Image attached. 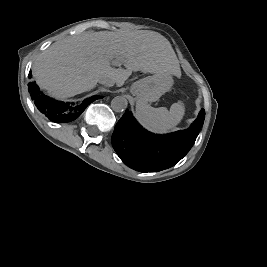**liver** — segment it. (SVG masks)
<instances>
[{
    "mask_svg": "<svg viewBox=\"0 0 267 267\" xmlns=\"http://www.w3.org/2000/svg\"><path fill=\"white\" fill-rule=\"evenodd\" d=\"M118 60L126 69L114 68ZM179 75L177 56L170 42L149 30L100 31L73 35L54 42L36 58L32 74L52 96L68 98L93 89L102 77L121 87L132 74Z\"/></svg>",
    "mask_w": 267,
    "mask_h": 267,
    "instance_id": "liver-1",
    "label": "liver"
}]
</instances>
